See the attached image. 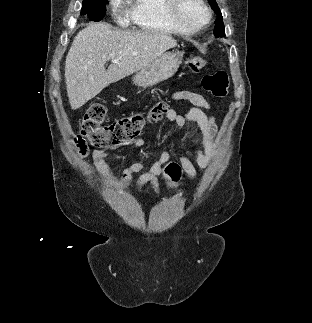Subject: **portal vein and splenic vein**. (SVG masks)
Returning <instances> with one entry per match:
<instances>
[{
  "mask_svg": "<svg viewBox=\"0 0 312 323\" xmlns=\"http://www.w3.org/2000/svg\"><path fill=\"white\" fill-rule=\"evenodd\" d=\"M111 62H115V64H118L119 60H114V58H112Z\"/></svg>",
  "mask_w": 312,
  "mask_h": 323,
  "instance_id": "obj_1",
  "label": "portal vein and splenic vein"
}]
</instances>
